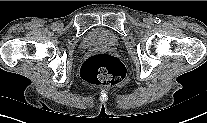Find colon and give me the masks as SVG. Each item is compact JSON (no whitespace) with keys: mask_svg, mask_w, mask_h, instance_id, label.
<instances>
[{"mask_svg":"<svg viewBox=\"0 0 207 123\" xmlns=\"http://www.w3.org/2000/svg\"><path fill=\"white\" fill-rule=\"evenodd\" d=\"M82 78L92 84L111 86L126 77V68L116 57L100 53L88 57L81 67Z\"/></svg>","mask_w":207,"mask_h":123,"instance_id":"5ec220e1","label":"colon"}]
</instances>
